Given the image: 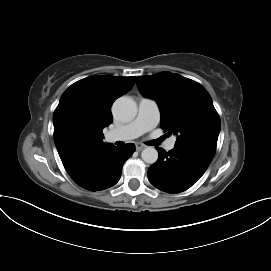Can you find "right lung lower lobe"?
Returning <instances> with one entry per match:
<instances>
[{"label":"right lung lower lobe","mask_w":271,"mask_h":271,"mask_svg":"<svg viewBox=\"0 0 271 271\" xmlns=\"http://www.w3.org/2000/svg\"><path fill=\"white\" fill-rule=\"evenodd\" d=\"M134 151L135 145L132 143L123 147L111 145L70 177L80 187L90 191L109 188L119 181L122 166Z\"/></svg>","instance_id":"1"}]
</instances>
